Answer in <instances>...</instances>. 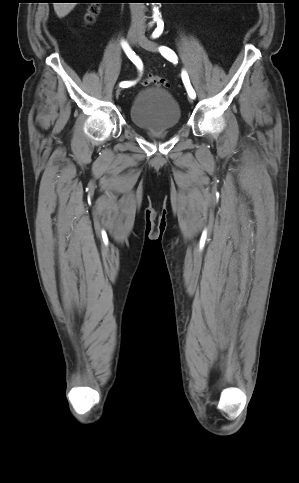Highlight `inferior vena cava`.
Instances as JSON below:
<instances>
[{
    "label": "inferior vena cava",
    "instance_id": "1",
    "mask_svg": "<svg viewBox=\"0 0 299 483\" xmlns=\"http://www.w3.org/2000/svg\"><path fill=\"white\" fill-rule=\"evenodd\" d=\"M131 27L135 30L143 31L145 25V6L144 3H130Z\"/></svg>",
    "mask_w": 299,
    "mask_h": 483
}]
</instances>
